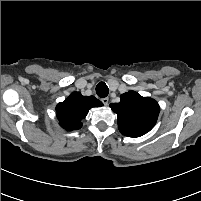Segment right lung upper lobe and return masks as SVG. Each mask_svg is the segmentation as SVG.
Listing matches in <instances>:
<instances>
[{
  "label": "right lung upper lobe",
  "instance_id": "cb5924a9",
  "mask_svg": "<svg viewBox=\"0 0 201 201\" xmlns=\"http://www.w3.org/2000/svg\"><path fill=\"white\" fill-rule=\"evenodd\" d=\"M103 103L94 96H83L73 92L56 106L57 118L62 128L71 131L82 127L81 120L92 107H101Z\"/></svg>",
  "mask_w": 201,
  "mask_h": 201
}]
</instances>
